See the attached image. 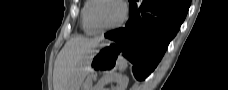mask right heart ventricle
Wrapping results in <instances>:
<instances>
[{"mask_svg": "<svg viewBox=\"0 0 228 90\" xmlns=\"http://www.w3.org/2000/svg\"><path fill=\"white\" fill-rule=\"evenodd\" d=\"M92 4L93 0H86L81 9V25L83 31L88 35L96 34V30L91 26L89 21V11Z\"/></svg>", "mask_w": 228, "mask_h": 90, "instance_id": "1", "label": "right heart ventricle"}]
</instances>
